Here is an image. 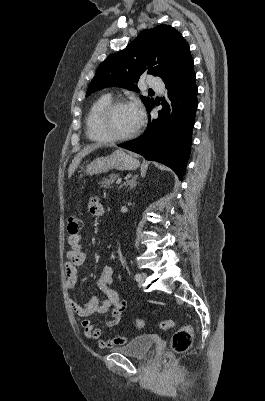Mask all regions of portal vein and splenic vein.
<instances>
[{
    "instance_id": "portal-vein-and-splenic-vein-1",
    "label": "portal vein and splenic vein",
    "mask_w": 265,
    "mask_h": 401,
    "mask_svg": "<svg viewBox=\"0 0 265 401\" xmlns=\"http://www.w3.org/2000/svg\"><path fill=\"white\" fill-rule=\"evenodd\" d=\"M117 184H120V182H122V178H118V180H116Z\"/></svg>"
}]
</instances>
